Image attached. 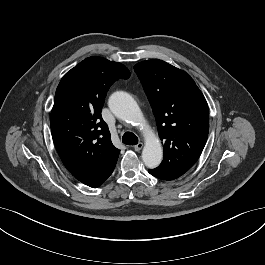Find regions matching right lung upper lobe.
<instances>
[{
  "instance_id": "1",
  "label": "right lung upper lobe",
  "mask_w": 265,
  "mask_h": 265,
  "mask_svg": "<svg viewBox=\"0 0 265 265\" xmlns=\"http://www.w3.org/2000/svg\"><path fill=\"white\" fill-rule=\"evenodd\" d=\"M129 77L123 64L89 57L61 79L51 111V133L63 164L75 178L94 175L118 157L120 151L111 142L101 111L112 83Z\"/></svg>"
}]
</instances>
